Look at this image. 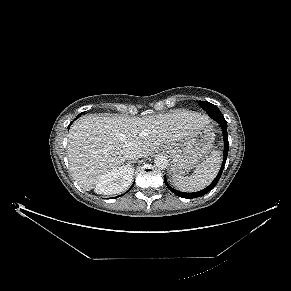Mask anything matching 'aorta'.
<instances>
[{
	"label": "aorta",
	"instance_id": "obj_1",
	"mask_svg": "<svg viewBox=\"0 0 291 291\" xmlns=\"http://www.w3.org/2000/svg\"><path fill=\"white\" fill-rule=\"evenodd\" d=\"M155 165L160 169H165L168 166V159L164 155H157L154 159Z\"/></svg>",
	"mask_w": 291,
	"mask_h": 291
}]
</instances>
